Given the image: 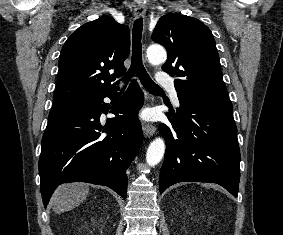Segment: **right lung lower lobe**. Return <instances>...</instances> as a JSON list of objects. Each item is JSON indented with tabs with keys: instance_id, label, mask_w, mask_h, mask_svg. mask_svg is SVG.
I'll use <instances>...</instances> for the list:
<instances>
[{
	"instance_id": "right-lung-lower-lobe-1",
	"label": "right lung lower lobe",
	"mask_w": 283,
	"mask_h": 235,
	"mask_svg": "<svg viewBox=\"0 0 283 235\" xmlns=\"http://www.w3.org/2000/svg\"><path fill=\"white\" fill-rule=\"evenodd\" d=\"M116 90L86 99L74 113L47 125L39 159L45 207L56 187L67 182L108 186L121 197H126L125 171L142 141L138 111L144 96L136 81L119 100ZM105 97L115 100L110 112L116 117L103 125L100 115L111 108L104 103Z\"/></svg>"
}]
</instances>
